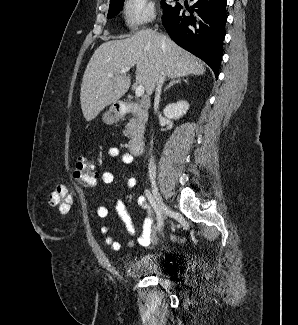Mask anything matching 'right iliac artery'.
Wrapping results in <instances>:
<instances>
[{"mask_svg":"<svg viewBox=\"0 0 298 325\" xmlns=\"http://www.w3.org/2000/svg\"><path fill=\"white\" fill-rule=\"evenodd\" d=\"M146 197L148 198L150 204L152 205V207L154 208L155 212H156V216H157V229L160 230L163 226V219L161 216V213L159 212V210L156 207V204L154 202V199L150 193L149 190L145 191Z\"/></svg>","mask_w":298,"mask_h":325,"instance_id":"1","label":"right iliac artery"}]
</instances>
